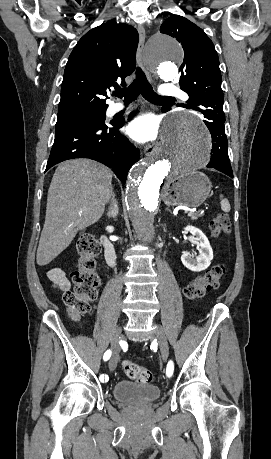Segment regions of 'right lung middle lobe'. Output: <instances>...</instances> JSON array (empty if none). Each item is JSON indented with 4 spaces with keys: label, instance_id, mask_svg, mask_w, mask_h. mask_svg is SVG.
<instances>
[{
    "label": "right lung middle lobe",
    "instance_id": "right-lung-middle-lobe-1",
    "mask_svg": "<svg viewBox=\"0 0 271 459\" xmlns=\"http://www.w3.org/2000/svg\"><path fill=\"white\" fill-rule=\"evenodd\" d=\"M106 105H86L79 108L59 111L56 131L81 123H105Z\"/></svg>",
    "mask_w": 271,
    "mask_h": 459
}]
</instances>
